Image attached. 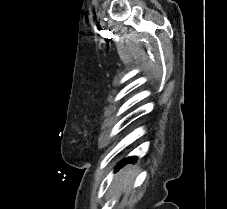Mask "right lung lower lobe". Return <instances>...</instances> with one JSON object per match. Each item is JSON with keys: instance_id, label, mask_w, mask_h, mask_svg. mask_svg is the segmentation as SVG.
Listing matches in <instances>:
<instances>
[{"instance_id": "obj_1", "label": "right lung lower lobe", "mask_w": 227, "mask_h": 209, "mask_svg": "<svg viewBox=\"0 0 227 209\" xmlns=\"http://www.w3.org/2000/svg\"><path fill=\"white\" fill-rule=\"evenodd\" d=\"M136 157H129L127 159H124L123 161H121L118 165H117V170L119 168H121L124 164L126 163H135L136 162Z\"/></svg>"}]
</instances>
